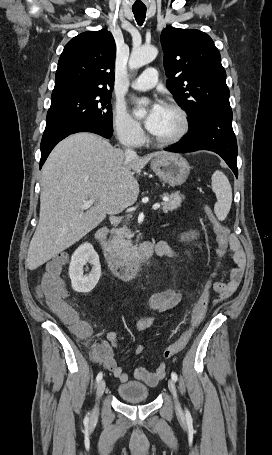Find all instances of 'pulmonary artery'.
I'll return each mask as SVG.
<instances>
[{"instance_id": "obj_1", "label": "pulmonary artery", "mask_w": 272, "mask_h": 455, "mask_svg": "<svg viewBox=\"0 0 272 455\" xmlns=\"http://www.w3.org/2000/svg\"><path fill=\"white\" fill-rule=\"evenodd\" d=\"M157 81V70L153 67H149L131 83V87L136 90H148L153 88L157 84Z\"/></svg>"}]
</instances>
